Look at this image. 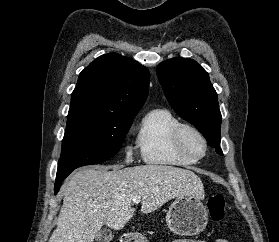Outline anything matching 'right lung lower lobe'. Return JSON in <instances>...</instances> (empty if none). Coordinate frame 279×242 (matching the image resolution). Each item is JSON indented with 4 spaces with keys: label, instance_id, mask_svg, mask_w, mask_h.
<instances>
[{
    "label": "right lung lower lobe",
    "instance_id": "right-lung-lower-lobe-1",
    "mask_svg": "<svg viewBox=\"0 0 279 242\" xmlns=\"http://www.w3.org/2000/svg\"><path fill=\"white\" fill-rule=\"evenodd\" d=\"M64 179L65 178L56 181V183H55V194L59 191L61 183Z\"/></svg>",
    "mask_w": 279,
    "mask_h": 242
}]
</instances>
